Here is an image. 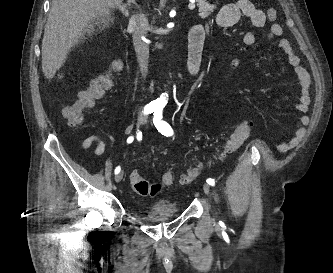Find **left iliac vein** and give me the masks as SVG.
Returning a JSON list of instances; mask_svg holds the SVG:
<instances>
[{
	"mask_svg": "<svg viewBox=\"0 0 333 273\" xmlns=\"http://www.w3.org/2000/svg\"><path fill=\"white\" fill-rule=\"evenodd\" d=\"M142 122H143L144 124L148 123V118H144V119L142 120ZM202 187H203L204 192H205L206 194L210 195V187H209V185H207V184H203Z\"/></svg>",
	"mask_w": 333,
	"mask_h": 273,
	"instance_id": "4c4485c4",
	"label": "left iliac vein"
}]
</instances>
